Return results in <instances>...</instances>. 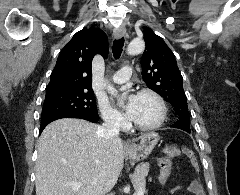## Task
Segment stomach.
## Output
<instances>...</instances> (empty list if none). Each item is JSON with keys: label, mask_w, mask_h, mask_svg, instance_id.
Listing matches in <instances>:
<instances>
[{"label": "stomach", "mask_w": 240, "mask_h": 195, "mask_svg": "<svg viewBox=\"0 0 240 195\" xmlns=\"http://www.w3.org/2000/svg\"><path fill=\"white\" fill-rule=\"evenodd\" d=\"M138 143H131V145H125V151L129 159L133 161H141L145 159L151 151H153L156 143L159 141L158 133L151 131V133H143L138 139Z\"/></svg>", "instance_id": "1"}]
</instances>
